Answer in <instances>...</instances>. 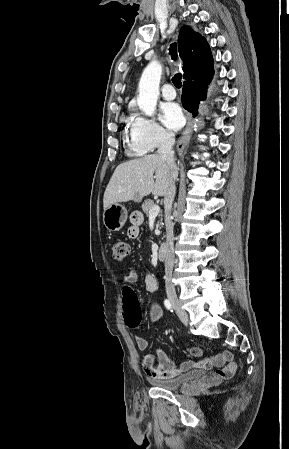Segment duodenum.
Returning <instances> with one entry per match:
<instances>
[{
    "label": "duodenum",
    "instance_id": "410a0bca",
    "mask_svg": "<svg viewBox=\"0 0 289 449\" xmlns=\"http://www.w3.org/2000/svg\"><path fill=\"white\" fill-rule=\"evenodd\" d=\"M168 245L165 242H162L157 249V255L160 260H165L167 257Z\"/></svg>",
    "mask_w": 289,
    "mask_h": 449
}]
</instances>
